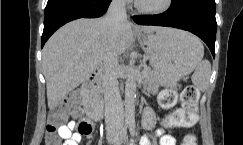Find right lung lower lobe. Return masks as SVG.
<instances>
[{"label": "right lung lower lobe", "instance_id": "98d812e1", "mask_svg": "<svg viewBox=\"0 0 243 145\" xmlns=\"http://www.w3.org/2000/svg\"><path fill=\"white\" fill-rule=\"evenodd\" d=\"M112 0H48L44 15L41 47L65 23L78 18L104 15Z\"/></svg>", "mask_w": 243, "mask_h": 145}]
</instances>
